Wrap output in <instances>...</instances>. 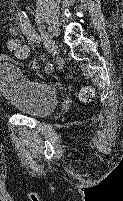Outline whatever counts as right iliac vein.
<instances>
[{
	"label": "right iliac vein",
	"instance_id": "obj_1",
	"mask_svg": "<svg viewBox=\"0 0 123 201\" xmlns=\"http://www.w3.org/2000/svg\"><path fill=\"white\" fill-rule=\"evenodd\" d=\"M42 38H43V41H44V44L48 50V52L50 54H55L56 53V44L55 42L53 41V39L49 36V34L47 33H42Z\"/></svg>",
	"mask_w": 123,
	"mask_h": 201
}]
</instances>
